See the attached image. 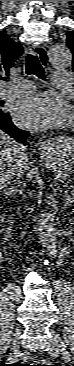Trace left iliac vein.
<instances>
[{"instance_id": "1", "label": "left iliac vein", "mask_w": 74, "mask_h": 366, "mask_svg": "<svg viewBox=\"0 0 74 366\" xmlns=\"http://www.w3.org/2000/svg\"><path fill=\"white\" fill-rule=\"evenodd\" d=\"M50 333L52 334V339H51V343L53 345V348L57 351L60 352L62 358L66 361L69 362L70 358H69V354L66 348V345L64 344V342L61 340L60 336L58 333H56L53 329L50 330Z\"/></svg>"}]
</instances>
